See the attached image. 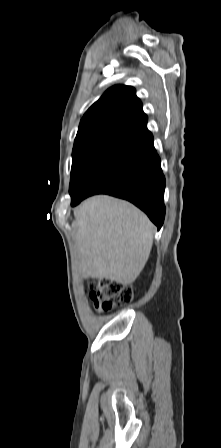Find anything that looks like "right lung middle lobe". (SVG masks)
Listing matches in <instances>:
<instances>
[{
    "label": "right lung middle lobe",
    "instance_id": "right-lung-middle-lobe-1",
    "mask_svg": "<svg viewBox=\"0 0 221 448\" xmlns=\"http://www.w3.org/2000/svg\"><path fill=\"white\" fill-rule=\"evenodd\" d=\"M113 145L97 144L74 149L72 153V169L69 193L73 200L84 182L113 148Z\"/></svg>",
    "mask_w": 221,
    "mask_h": 448
}]
</instances>
